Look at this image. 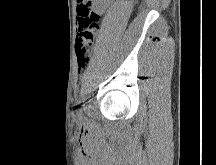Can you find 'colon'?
Listing matches in <instances>:
<instances>
[{
    "label": "colon",
    "mask_w": 216,
    "mask_h": 165,
    "mask_svg": "<svg viewBox=\"0 0 216 165\" xmlns=\"http://www.w3.org/2000/svg\"><path fill=\"white\" fill-rule=\"evenodd\" d=\"M76 43L78 65L84 68L93 50V45L99 30V16L93 10H82Z\"/></svg>",
    "instance_id": "1"
}]
</instances>
